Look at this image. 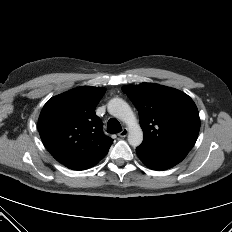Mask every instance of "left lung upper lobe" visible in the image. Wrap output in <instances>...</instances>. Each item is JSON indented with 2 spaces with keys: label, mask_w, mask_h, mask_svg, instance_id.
Returning a JSON list of instances; mask_svg holds the SVG:
<instances>
[{
  "label": "left lung upper lobe",
  "mask_w": 232,
  "mask_h": 232,
  "mask_svg": "<svg viewBox=\"0 0 232 232\" xmlns=\"http://www.w3.org/2000/svg\"><path fill=\"white\" fill-rule=\"evenodd\" d=\"M122 90L139 112L144 139L137 149L152 153L192 149L200 119L195 103L187 94L152 83L127 85Z\"/></svg>",
  "instance_id": "obj_1"
}]
</instances>
